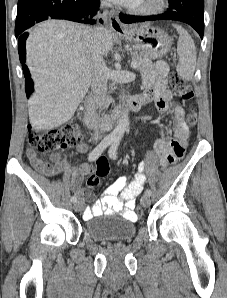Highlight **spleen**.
Here are the masks:
<instances>
[{
  "label": "spleen",
  "instance_id": "1",
  "mask_svg": "<svg viewBox=\"0 0 227 298\" xmlns=\"http://www.w3.org/2000/svg\"><path fill=\"white\" fill-rule=\"evenodd\" d=\"M179 33L177 53L179 63L176 67L177 73L185 80H191L196 66V48L190 34L180 25L173 24Z\"/></svg>",
  "mask_w": 227,
  "mask_h": 298
}]
</instances>
